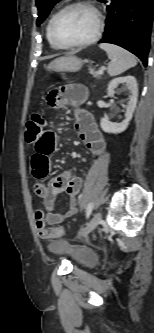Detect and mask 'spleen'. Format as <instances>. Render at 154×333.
Returning <instances> with one entry per match:
<instances>
[{
	"label": "spleen",
	"mask_w": 154,
	"mask_h": 333,
	"mask_svg": "<svg viewBox=\"0 0 154 333\" xmlns=\"http://www.w3.org/2000/svg\"><path fill=\"white\" fill-rule=\"evenodd\" d=\"M99 47L106 51L109 59L111 60L107 70L110 76L120 75L126 70L137 65L136 57L119 46L102 43Z\"/></svg>",
	"instance_id": "3e777b00"
}]
</instances>
